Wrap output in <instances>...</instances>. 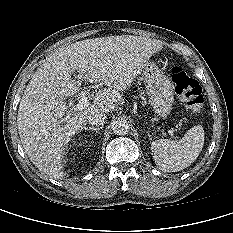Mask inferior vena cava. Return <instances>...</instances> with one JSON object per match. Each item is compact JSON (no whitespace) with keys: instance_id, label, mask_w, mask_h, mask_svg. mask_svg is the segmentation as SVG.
<instances>
[{"instance_id":"1","label":"inferior vena cava","mask_w":233,"mask_h":233,"mask_svg":"<svg viewBox=\"0 0 233 233\" xmlns=\"http://www.w3.org/2000/svg\"><path fill=\"white\" fill-rule=\"evenodd\" d=\"M107 116L102 111H93L87 116V120L91 125H103Z\"/></svg>"}]
</instances>
